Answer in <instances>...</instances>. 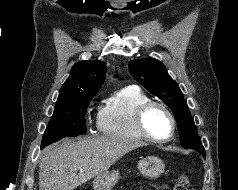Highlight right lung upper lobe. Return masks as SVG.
<instances>
[{
    "instance_id": "cb5924a9",
    "label": "right lung upper lobe",
    "mask_w": 238,
    "mask_h": 190,
    "mask_svg": "<svg viewBox=\"0 0 238 190\" xmlns=\"http://www.w3.org/2000/svg\"><path fill=\"white\" fill-rule=\"evenodd\" d=\"M106 65L100 60L77 62L70 76L60 89L57 102H63L80 94H96L103 84Z\"/></svg>"
}]
</instances>
